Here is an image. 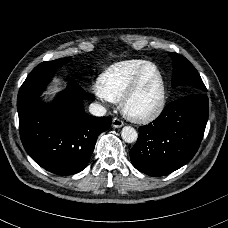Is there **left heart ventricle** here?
Returning a JSON list of instances; mask_svg holds the SVG:
<instances>
[{"label":"left heart ventricle","mask_w":228,"mask_h":228,"mask_svg":"<svg viewBox=\"0 0 228 228\" xmlns=\"http://www.w3.org/2000/svg\"><path fill=\"white\" fill-rule=\"evenodd\" d=\"M161 96V81L158 72L150 68L141 84L137 96L131 103L134 110L147 112L155 109Z\"/></svg>","instance_id":"obj_1"}]
</instances>
